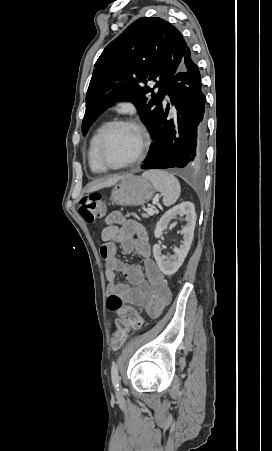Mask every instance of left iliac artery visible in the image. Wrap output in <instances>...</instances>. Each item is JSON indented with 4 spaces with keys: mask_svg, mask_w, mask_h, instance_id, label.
<instances>
[{
    "mask_svg": "<svg viewBox=\"0 0 272 451\" xmlns=\"http://www.w3.org/2000/svg\"><path fill=\"white\" fill-rule=\"evenodd\" d=\"M111 378H112V383L114 385V387L119 390V384H120V377H119V373H118V366L117 363L113 362L112 366H111Z\"/></svg>",
    "mask_w": 272,
    "mask_h": 451,
    "instance_id": "obj_1",
    "label": "left iliac artery"
}]
</instances>
